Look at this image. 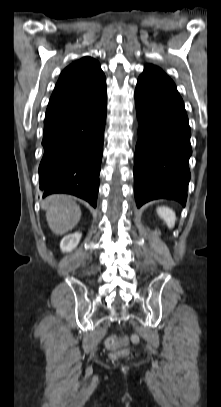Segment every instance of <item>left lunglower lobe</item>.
Returning a JSON list of instances; mask_svg holds the SVG:
<instances>
[{"mask_svg":"<svg viewBox=\"0 0 221 407\" xmlns=\"http://www.w3.org/2000/svg\"><path fill=\"white\" fill-rule=\"evenodd\" d=\"M135 105L140 121L134 164L137 207L162 198L185 206L191 131L174 82L139 78Z\"/></svg>","mask_w":221,"mask_h":407,"instance_id":"0a47b994","label":"left lung lower lobe"}]
</instances>
